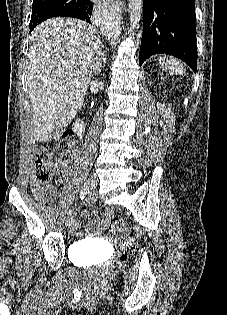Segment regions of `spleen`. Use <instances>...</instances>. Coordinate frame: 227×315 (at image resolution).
Wrapping results in <instances>:
<instances>
[{
  "mask_svg": "<svg viewBox=\"0 0 227 315\" xmlns=\"http://www.w3.org/2000/svg\"><path fill=\"white\" fill-rule=\"evenodd\" d=\"M161 65L162 67H165L166 70L168 69L172 74H182L183 71H185L183 65L173 58L167 60L166 62H162Z\"/></svg>",
  "mask_w": 227,
  "mask_h": 315,
  "instance_id": "1",
  "label": "spleen"
}]
</instances>
